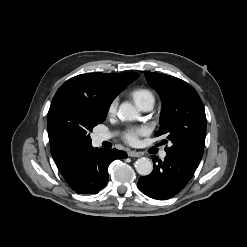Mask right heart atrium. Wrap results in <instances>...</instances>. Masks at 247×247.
<instances>
[{"instance_id":"1","label":"right heart atrium","mask_w":247,"mask_h":247,"mask_svg":"<svg viewBox=\"0 0 247 247\" xmlns=\"http://www.w3.org/2000/svg\"><path fill=\"white\" fill-rule=\"evenodd\" d=\"M117 106H118L117 99L112 100L108 106V114L109 115L114 114L117 110Z\"/></svg>"}]
</instances>
